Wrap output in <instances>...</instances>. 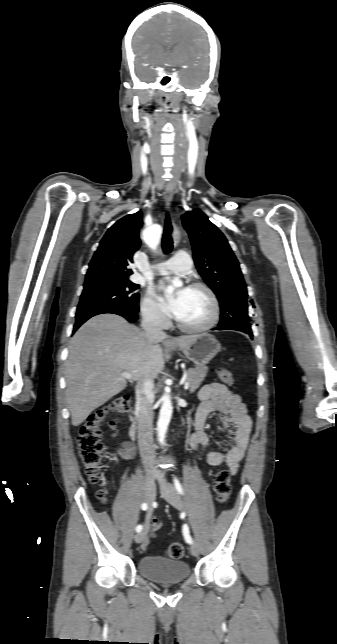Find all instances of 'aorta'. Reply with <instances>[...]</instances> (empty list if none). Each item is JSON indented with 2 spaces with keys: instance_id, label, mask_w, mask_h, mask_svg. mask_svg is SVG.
<instances>
[{
  "instance_id": "aorta-1",
  "label": "aorta",
  "mask_w": 337,
  "mask_h": 644,
  "mask_svg": "<svg viewBox=\"0 0 337 644\" xmlns=\"http://www.w3.org/2000/svg\"><path fill=\"white\" fill-rule=\"evenodd\" d=\"M161 231L158 228L148 231L145 235V241L147 245L156 250L160 242ZM183 282L179 278H173L171 280V285L167 288V293H172L176 287H181ZM162 406L160 409V414L157 422V434L158 440L161 445L165 443L166 432L168 425L172 416L173 407L171 403V398L168 393H165L162 398Z\"/></svg>"
}]
</instances>
